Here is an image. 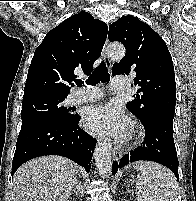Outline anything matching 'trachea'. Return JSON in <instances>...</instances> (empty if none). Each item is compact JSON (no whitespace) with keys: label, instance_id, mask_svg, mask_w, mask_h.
<instances>
[{"label":"trachea","instance_id":"trachea-1","mask_svg":"<svg viewBox=\"0 0 196 201\" xmlns=\"http://www.w3.org/2000/svg\"><path fill=\"white\" fill-rule=\"evenodd\" d=\"M109 79L110 74L108 73L107 67L104 65V63H101L88 77L86 83L88 85H95L100 81L102 83H106L109 81ZM76 84L77 86H82L84 83L82 81H77Z\"/></svg>","mask_w":196,"mask_h":201}]
</instances>
